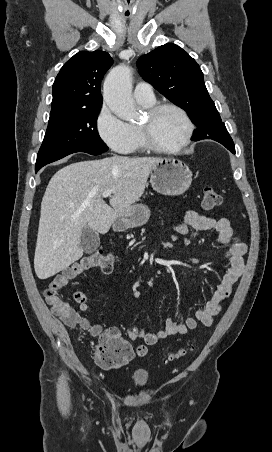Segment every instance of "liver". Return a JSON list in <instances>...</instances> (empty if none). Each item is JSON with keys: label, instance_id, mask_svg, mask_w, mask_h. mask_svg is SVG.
<instances>
[{"label": "liver", "instance_id": "6515ba94", "mask_svg": "<svg viewBox=\"0 0 272 452\" xmlns=\"http://www.w3.org/2000/svg\"><path fill=\"white\" fill-rule=\"evenodd\" d=\"M156 157L112 156L72 163L49 181L41 202L34 269L47 279L83 255L82 230L105 234L143 195ZM112 190L110 206L102 193Z\"/></svg>", "mask_w": 272, "mask_h": 452}]
</instances>
